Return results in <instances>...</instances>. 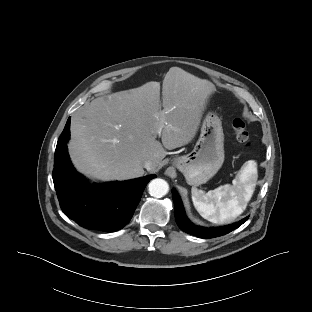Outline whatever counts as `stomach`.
<instances>
[{"label":"stomach","instance_id":"0dacf381","mask_svg":"<svg viewBox=\"0 0 312 312\" xmlns=\"http://www.w3.org/2000/svg\"><path fill=\"white\" fill-rule=\"evenodd\" d=\"M224 162V134L221 119L214 112L205 116L198 141L187 155L172 161L185 177L187 183L198 186L206 183Z\"/></svg>","mask_w":312,"mask_h":312}]
</instances>
